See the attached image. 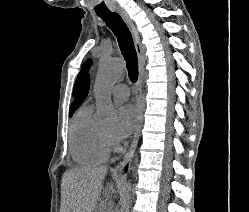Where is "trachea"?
Masks as SVG:
<instances>
[{"label": "trachea", "instance_id": "3493384b", "mask_svg": "<svg viewBox=\"0 0 249 212\" xmlns=\"http://www.w3.org/2000/svg\"><path fill=\"white\" fill-rule=\"evenodd\" d=\"M97 15L102 18V20H104L106 25L112 30L114 35L117 37L119 47L126 61L129 79L133 83L137 82L138 59L136 50L134 48L132 35L126 23H124L120 15L118 13H115L114 11L106 13H97Z\"/></svg>", "mask_w": 249, "mask_h": 212}]
</instances>
